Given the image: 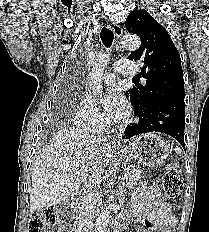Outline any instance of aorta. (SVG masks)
I'll return each instance as SVG.
<instances>
[{
    "mask_svg": "<svg viewBox=\"0 0 209 232\" xmlns=\"http://www.w3.org/2000/svg\"><path fill=\"white\" fill-rule=\"evenodd\" d=\"M140 38L136 35L126 34L123 36L120 44L117 48L137 50L140 47ZM110 53H103L99 55L96 62L92 66V72L89 77V86L93 93H102V86L100 84V79L102 72L109 60ZM111 211L109 208H104L99 214L96 225L95 232H105L110 221Z\"/></svg>",
    "mask_w": 209,
    "mask_h": 232,
    "instance_id": "aorta-1",
    "label": "aorta"
}]
</instances>
